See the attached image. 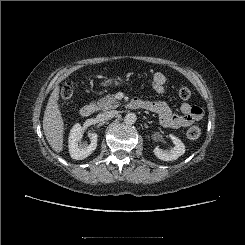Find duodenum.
<instances>
[{"instance_id":"obj_1","label":"duodenum","mask_w":245,"mask_h":245,"mask_svg":"<svg viewBox=\"0 0 245 245\" xmlns=\"http://www.w3.org/2000/svg\"><path fill=\"white\" fill-rule=\"evenodd\" d=\"M130 107H142L143 106V103L139 100H136V101H132L130 104H129ZM95 111V107L91 104H86L84 106L81 107L80 109V114L82 117H90L93 115Z\"/></svg>"}]
</instances>
